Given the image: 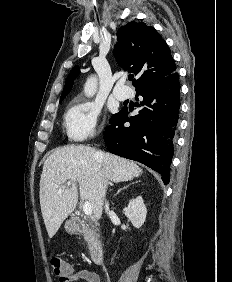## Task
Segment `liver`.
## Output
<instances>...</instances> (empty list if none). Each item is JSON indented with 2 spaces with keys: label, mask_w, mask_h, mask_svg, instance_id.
<instances>
[{
  "label": "liver",
  "mask_w": 232,
  "mask_h": 282,
  "mask_svg": "<svg viewBox=\"0 0 232 282\" xmlns=\"http://www.w3.org/2000/svg\"><path fill=\"white\" fill-rule=\"evenodd\" d=\"M103 160V169L97 160ZM142 169L127 159L81 145L56 149L44 162L40 179V206L48 236L52 238L74 211L79 195L91 203L96 219L102 214L104 180L124 182L139 177ZM71 185L59 192L62 185Z\"/></svg>",
  "instance_id": "obj_1"
}]
</instances>
